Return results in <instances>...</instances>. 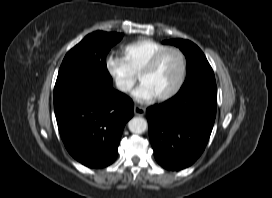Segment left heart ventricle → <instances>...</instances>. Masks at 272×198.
<instances>
[{"instance_id": "b2bd125f", "label": "left heart ventricle", "mask_w": 272, "mask_h": 198, "mask_svg": "<svg viewBox=\"0 0 272 198\" xmlns=\"http://www.w3.org/2000/svg\"><path fill=\"white\" fill-rule=\"evenodd\" d=\"M180 73V56L175 52H170L163 57L156 69L144 75L140 82L149 88L154 97H158L173 89Z\"/></svg>"}]
</instances>
